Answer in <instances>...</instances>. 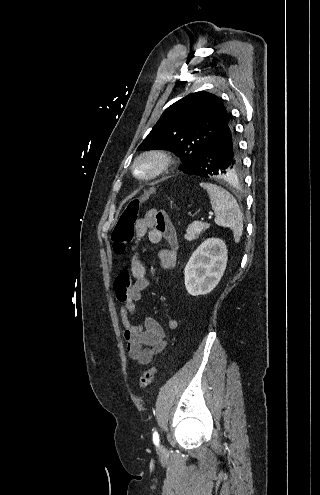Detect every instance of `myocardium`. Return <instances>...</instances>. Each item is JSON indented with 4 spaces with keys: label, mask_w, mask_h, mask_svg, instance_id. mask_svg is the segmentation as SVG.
Instances as JSON below:
<instances>
[{
    "label": "myocardium",
    "mask_w": 320,
    "mask_h": 495,
    "mask_svg": "<svg viewBox=\"0 0 320 495\" xmlns=\"http://www.w3.org/2000/svg\"><path fill=\"white\" fill-rule=\"evenodd\" d=\"M172 164V157L166 151L148 150L134 159L131 170L138 179L150 181L165 174Z\"/></svg>",
    "instance_id": "myocardium-1"
}]
</instances>
